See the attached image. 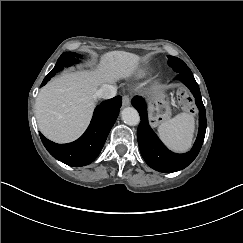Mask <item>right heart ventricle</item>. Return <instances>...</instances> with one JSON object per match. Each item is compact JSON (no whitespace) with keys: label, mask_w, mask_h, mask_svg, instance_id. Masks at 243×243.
<instances>
[{"label":"right heart ventricle","mask_w":243,"mask_h":243,"mask_svg":"<svg viewBox=\"0 0 243 243\" xmlns=\"http://www.w3.org/2000/svg\"><path fill=\"white\" fill-rule=\"evenodd\" d=\"M135 75L136 78L141 79L146 75V72L144 69H138Z\"/></svg>","instance_id":"1"}]
</instances>
